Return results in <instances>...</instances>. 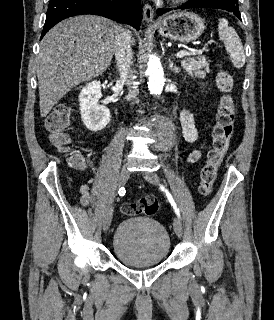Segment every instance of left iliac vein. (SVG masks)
Wrapping results in <instances>:
<instances>
[{
    "mask_svg": "<svg viewBox=\"0 0 274 320\" xmlns=\"http://www.w3.org/2000/svg\"><path fill=\"white\" fill-rule=\"evenodd\" d=\"M143 176L146 179V181H148L151 184L156 185L159 183V176L155 172H144ZM173 228H174L176 235L179 238L182 237L183 225L178 217H176L173 221Z\"/></svg>",
    "mask_w": 274,
    "mask_h": 320,
    "instance_id": "obj_1",
    "label": "left iliac vein"
}]
</instances>
